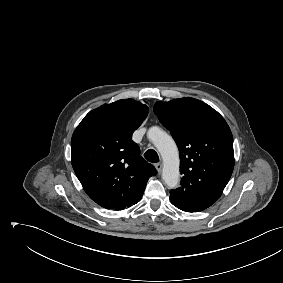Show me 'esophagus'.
<instances>
[{
    "label": "esophagus",
    "instance_id": "obj_1",
    "mask_svg": "<svg viewBox=\"0 0 283 283\" xmlns=\"http://www.w3.org/2000/svg\"><path fill=\"white\" fill-rule=\"evenodd\" d=\"M155 168H156V170L158 171L159 174L162 172V164L161 163L155 164Z\"/></svg>",
    "mask_w": 283,
    "mask_h": 283
}]
</instances>
